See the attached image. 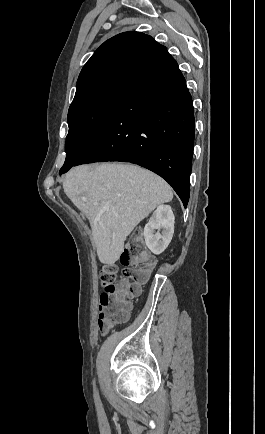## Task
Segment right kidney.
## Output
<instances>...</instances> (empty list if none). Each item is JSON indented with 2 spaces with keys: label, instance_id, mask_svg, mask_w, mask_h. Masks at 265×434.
Listing matches in <instances>:
<instances>
[{
  "label": "right kidney",
  "instance_id": "obj_1",
  "mask_svg": "<svg viewBox=\"0 0 265 434\" xmlns=\"http://www.w3.org/2000/svg\"><path fill=\"white\" fill-rule=\"evenodd\" d=\"M158 230V232H156ZM174 234V214L171 206H158L148 224H145V244L152 254H162L168 248Z\"/></svg>",
  "mask_w": 265,
  "mask_h": 434
}]
</instances>
